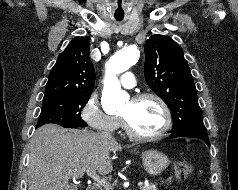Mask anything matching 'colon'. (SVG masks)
<instances>
[{"label": "colon", "instance_id": "5ec220e1", "mask_svg": "<svg viewBox=\"0 0 238 190\" xmlns=\"http://www.w3.org/2000/svg\"><path fill=\"white\" fill-rule=\"evenodd\" d=\"M172 169H173L175 178L179 181L186 180L187 178H189V176L193 172L192 166L184 160L175 161L172 165Z\"/></svg>", "mask_w": 238, "mask_h": 190}]
</instances>
